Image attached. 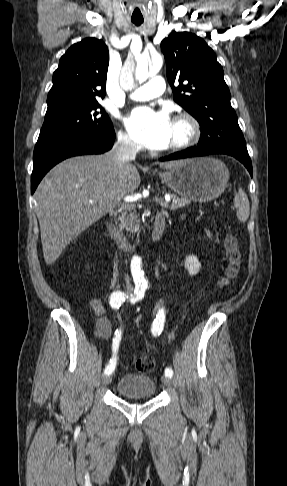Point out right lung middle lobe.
Returning a JSON list of instances; mask_svg holds the SVG:
<instances>
[{
    "label": "right lung middle lobe",
    "instance_id": "1",
    "mask_svg": "<svg viewBox=\"0 0 287 486\" xmlns=\"http://www.w3.org/2000/svg\"><path fill=\"white\" fill-rule=\"evenodd\" d=\"M111 128L99 99L66 102L47 108L37 143L95 137Z\"/></svg>",
    "mask_w": 287,
    "mask_h": 486
}]
</instances>
